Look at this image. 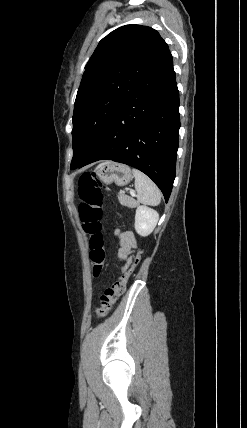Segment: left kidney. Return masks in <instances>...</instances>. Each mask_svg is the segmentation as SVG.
Listing matches in <instances>:
<instances>
[{
    "instance_id": "1",
    "label": "left kidney",
    "mask_w": 247,
    "mask_h": 428,
    "mask_svg": "<svg viewBox=\"0 0 247 428\" xmlns=\"http://www.w3.org/2000/svg\"><path fill=\"white\" fill-rule=\"evenodd\" d=\"M159 214L152 208L141 205L136 209L135 230L141 236H148L157 225Z\"/></svg>"
}]
</instances>
